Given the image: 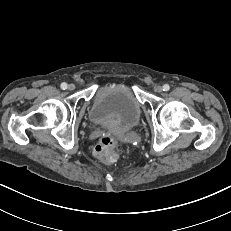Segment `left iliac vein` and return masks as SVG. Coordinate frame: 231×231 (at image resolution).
Masks as SVG:
<instances>
[{
  "instance_id": "obj_1",
  "label": "left iliac vein",
  "mask_w": 231,
  "mask_h": 231,
  "mask_svg": "<svg viewBox=\"0 0 231 231\" xmlns=\"http://www.w3.org/2000/svg\"><path fill=\"white\" fill-rule=\"evenodd\" d=\"M154 91L157 92V93H161L163 91V88L161 86H156L154 88Z\"/></svg>"
}]
</instances>
